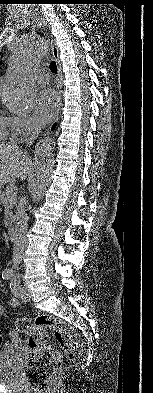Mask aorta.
<instances>
[{"label":"aorta","mask_w":153,"mask_h":393,"mask_svg":"<svg viewBox=\"0 0 153 393\" xmlns=\"http://www.w3.org/2000/svg\"><path fill=\"white\" fill-rule=\"evenodd\" d=\"M48 42L42 35H26L13 48L9 57V76L0 88L5 107L12 113H25L33 108L35 91L31 73L47 53ZM34 179L31 186L33 203L39 202L51 183L54 167V142L42 139L34 151Z\"/></svg>","instance_id":"1"}]
</instances>
